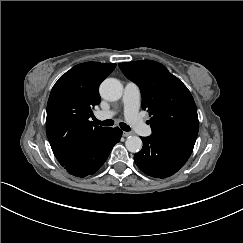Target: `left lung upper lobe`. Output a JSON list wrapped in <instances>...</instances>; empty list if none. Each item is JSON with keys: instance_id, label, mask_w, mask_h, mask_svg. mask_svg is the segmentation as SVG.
<instances>
[{"instance_id": "obj_1", "label": "left lung upper lobe", "mask_w": 243, "mask_h": 243, "mask_svg": "<svg viewBox=\"0 0 243 243\" xmlns=\"http://www.w3.org/2000/svg\"><path fill=\"white\" fill-rule=\"evenodd\" d=\"M142 94V108L151 116L152 135L195 144L199 121L187 87L161 63L141 60L119 64Z\"/></svg>"}]
</instances>
